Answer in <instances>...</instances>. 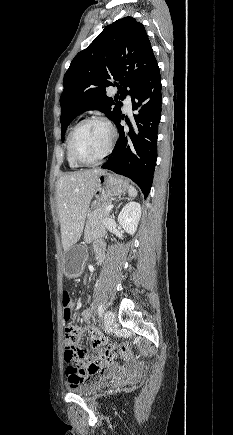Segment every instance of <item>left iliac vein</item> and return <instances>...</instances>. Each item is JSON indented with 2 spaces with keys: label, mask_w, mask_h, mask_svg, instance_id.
<instances>
[{
  "label": "left iliac vein",
  "mask_w": 233,
  "mask_h": 435,
  "mask_svg": "<svg viewBox=\"0 0 233 435\" xmlns=\"http://www.w3.org/2000/svg\"><path fill=\"white\" fill-rule=\"evenodd\" d=\"M114 322H115V315H114V313L112 311H110V310L107 311L105 313V316H104V324H105L106 328L107 329L108 328H112Z\"/></svg>",
  "instance_id": "1"
}]
</instances>
